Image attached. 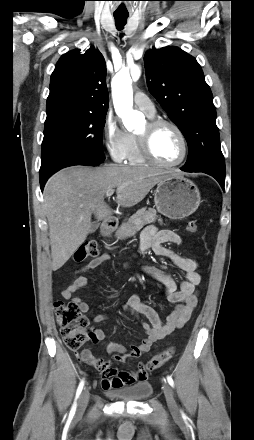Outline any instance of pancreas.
I'll return each instance as SVG.
<instances>
[{
	"label": "pancreas",
	"mask_w": 254,
	"mask_h": 440,
	"mask_svg": "<svg viewBox=\"0 0 254 440\" xmlns=\"http://www.w3.org/2000/svg\"><path fill=\"white\" fill-rule=\"evenodd\" d=\"M158 218L157 211L154 208H141L129 219L122 223L120 229L117 231L118 237L121 239L131 237L136 234L144 225L154 223ZM162 224V219H158Z\"/></svg>",
	"instance_id": "pancreas-1"
}]
</instances>
